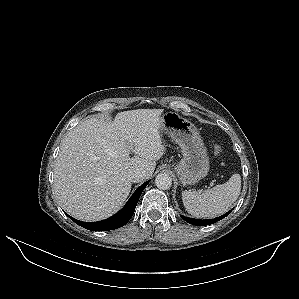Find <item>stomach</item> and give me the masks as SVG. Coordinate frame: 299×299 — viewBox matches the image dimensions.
I'll list each match as a JSON object with an SVG mask.
<instances>
[{"instance_id": "stomach-1", "label": "stomach", "mask_w": 299, "mask_h": 299, "mask_svg": "<svg viewBox=\"0 0 299 299\" xmlns=\"http://www.w3.org/2000/svg\"><path fill=\"white\" fill-rule=\"evenodd\" d=\"M161 130L180 146L182 159L176 173L183 185H194L209 172V157L198 129L186 118L170 111L161 116Z\"/></svg>"}]
</instances>
